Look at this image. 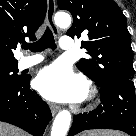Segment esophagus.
<instances>
[{"mask_svg":"<svg viewBox=\"0 0 136 136\" xmlns=\"http://www.w3.org/2000/svg\"><path fill=\"white\" fill-rule=\"evenodd\" d=\"M55 10H56V0H47V15H46L47 23L50 26L53 34L55 36H58L59 30L54 22ZM49 106L52 115H55L59 110V106L53 103H51Z\"/></svg>","mask_w":136,"mask_h":136,"instance_id":"esophagus-1","label":"esophagus"}]
</instances>
